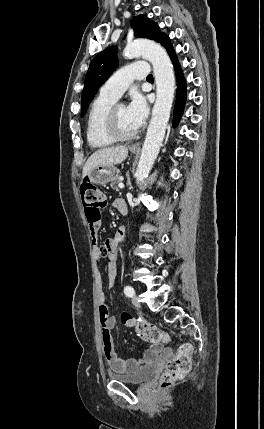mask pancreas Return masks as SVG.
I'll return each mask as SVG.
<instances>
[{"instance_id":"cf45deb5","label":"pancreas","mask_w":264,"mask_h":429,"mask_svg":"<svg viewBox=\"0 0 264 429\" xmlns=\"http://www.w3.org/2000/svg\"><path fill=\"white\" fill-rule=\"evenodd\" d=\"M119 177H120V171H117L116 175H114V177L110 180V186L114 190H118V187L116 184L120 182Z\"/></svg>"}]
</instances>
